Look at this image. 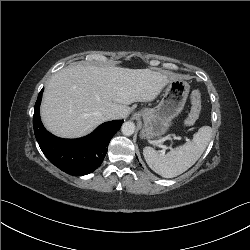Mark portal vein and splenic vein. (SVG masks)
Here are the masks:
<instances>
[{"label":"portal vein and splenic vein","mask_w":250,"mask_h":250,"mask_svg":"<svg viewBox=\"0 0 250 250\" xmlns=\"http://www.w3.org/2000/svg\"><path fill=\"white\" fill-rule=\"evenodd\" d=\"M173 138L177 139V140H182V137H180V136H174ZM185 140L188 141V142L190 141L188 138H185ZM160 147L163 148V153H164L166 147L165 146H161V145H160Z\"/></svg>","instance_id":"portal-vein-and-splenic-vein-1"}]
</instances>
